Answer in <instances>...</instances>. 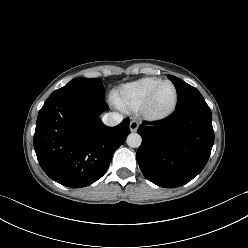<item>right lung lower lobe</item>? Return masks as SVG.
Returning a JSON list of instances; mask_svg holds the SVG:
<instances>
[{"label":"right lung lower lobe","mask_w":248,"mask_h":248,"mask_svg":"<svg viewBox=\"0 0 248 248\" xmlns=\"http://www.w3.org/2000/svg\"><path fill=\"white\" fill-rule=\"evenodd\" d=\"M104 97L86 93L50 96L39 111L34 149L44 172L71 188L88 186L107 171L114 151L130 133L128 118L108 127L99 115Z\"/></svg>","instance_id":"98d812e1"}]
</instances>
